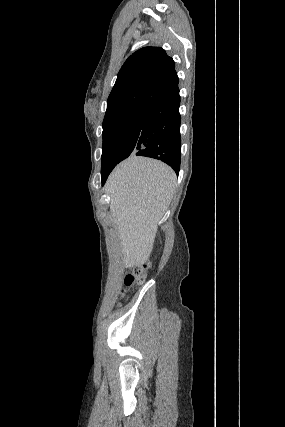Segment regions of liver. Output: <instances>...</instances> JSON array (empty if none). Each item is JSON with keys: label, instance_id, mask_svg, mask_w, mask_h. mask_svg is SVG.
Wrapping results in <instances>:
<instances>
[{"label": "liver", "instance_id": "obj_1", "mask_svg": "<svg viewBox=\"0 0 285 427\" xmlns=\"http://www.w3.org/2000/svg\"><path fill=\"white\" fill-rule=\"evenodd\" d=\"M176 179L175 172L163 162L135 155L110 174L105 189L126 267H140L148 261L158 222L172 200Z\"/></svg>", "mask_w": 285, "mask_h": 427}]
</instances>
